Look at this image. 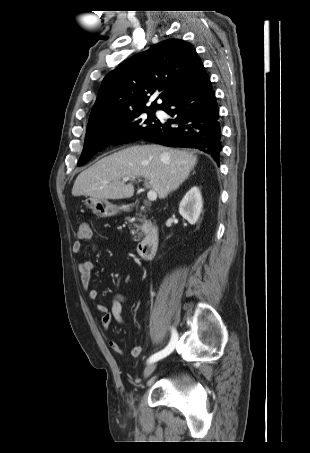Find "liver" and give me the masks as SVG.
<instances>
[{
  "label": "liver",
  "mask_w": 310,
  "mask_h": 453,
  "mask_svg": "<svg viewBox=\"0 0 310 453\" xmlns=\"http://www.w3.org/2000/svg\"><path fill=\"white\" fill-rule=\"evenodd\" d=\"M196 163L197 156L184 150L159 145L131 146L82 171L74 182L72 195L105 200L131 198L133 184L126 185L121 179L143 177L144 186L163 199L188 178Z\"/></svg>",
  "instance_id": "6515ba94"
}]
</instances>
